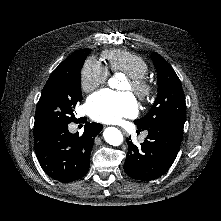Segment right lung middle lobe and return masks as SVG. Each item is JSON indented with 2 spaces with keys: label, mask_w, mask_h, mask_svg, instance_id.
Instances as JSON below:
<instances>
[{
  "label": "right lung middle lobe",
  "mask_w": 221,
  "mask_h": 221,
  "mask_svg": "<svg viewBox=\"0 0 221 221\" xmlns=\"http://www.w3.org/2000/svg\"><path fill=\"white\" fill-rule=\"evenodd\" d=\"M91 49H81L62 62L46 82L35 112L34 136L77 121L74 109L82 100L80 71Z\"/></svg>",
  "instance_id": "1"
}]
</instances>
